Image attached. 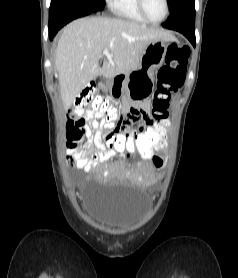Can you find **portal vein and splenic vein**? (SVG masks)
<instances>
[{"instance_id":"18ae733b","label":"portal vein and splenic vein","mask_w":238,"mask_h":278,"mask_svg":"<svg viewBox=\"0 0 238 278\" xmlns=\"http://www.w3.org/2000/svg\"><path fill=\"white\" fill-rule=\"evenodd\" d=\"M103 55L105 56H109V49L108 48H105L104 51H103Z\"/></svg>"}]
</instances>
